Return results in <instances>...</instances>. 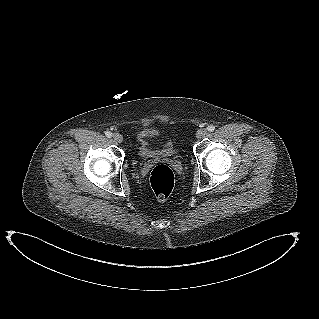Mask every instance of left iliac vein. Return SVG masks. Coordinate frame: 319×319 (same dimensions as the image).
<instances>
[{"mask_svg": "<svg viewBox=\"0 0 319 319\" xmlns=\"http://www.w3.org/2000/svg\"><path fill=\"white\" fill-rule=\"evenodd\" d=\"M206 134H207V129L202 128V129H199V130L197 131L196 137H197V138H202V137H204Z\"/></svg>", "mask_w": 319, "mask_h": 319, "instance_id": "obj_1", "label": "left iliac vein"}]
</instances>
